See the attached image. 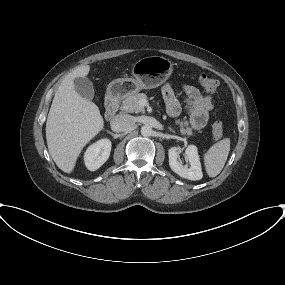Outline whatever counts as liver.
Instances as JSON below:
<instances>
[{"mask_svg": "<svg viewBox=\"0 0 285 285\" xmlns=\"http://www.w3.org/2000/svg\"><path fill=\"white\" fill-rule=\"evenodd\" d=\"M89 65L69 73L56 90L46 122L49 153L56 165L71 173L84 146L103 128L99 108L80 96L74 87L76 77H85Z\"/></svg>", "mask_w": 285, "mask_h": 285, "instance_id": "obj_1", "label": "liver"}]
</instances>
